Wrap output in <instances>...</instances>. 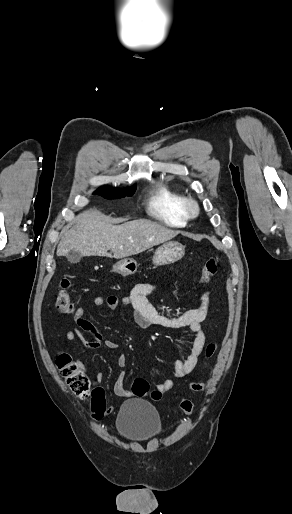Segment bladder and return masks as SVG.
Instances as JSON below:
<instances>
[{
  "instance_id": "obj_1",
  "label": "bladder",
  "mask_w": 292,
  "mask_h": 514,
  "mask_svg": "<svg viewBox=\"0 0 292 514\" xmlns=\"http://www.w3.org/2000/svg\"><path fill=\"white\" fill-rule=\"evenodd\" d=\"M116 429L123 439L141 442L158 436L162 432V422L153 405L144 400L130 399L118 413Z\"/></svg>"
}]
</instances>
